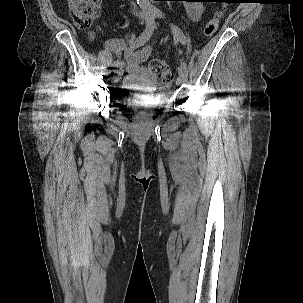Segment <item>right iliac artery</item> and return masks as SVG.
Masks as SVG:
<instances>
[{
    "instance_id": "82829eb1",
    "label": "right iliac artery",
    "mask_w": 303,
    "mask_h": 303,
    "mask_svg": "<svg viewBox=\"0 0 303 303\" xmlns=\"http://www.w3.org/2000/svg\"><path fill=\"white\" fill-rule=\"evenodd\" d=\"M155 16L149 15L146 13V27L140 36L136 39L134 43V48L144 45L151 37L155 29ZM124 63L120 61H115L112 65L113 70L115 71L119 66H122Z\"/></svg>"
}]
</instances>
